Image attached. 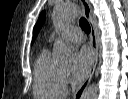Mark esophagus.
Returning <instances> with one entry per match:
<instances>
[{
    "mask_svg": "<svg viewBox=\"0 0 128 99\" xmlns=\"http://www.w3.org/2000/svg\"><path fill=\"white\" fill-rule=\"evenodd\" d=\"M81 5H82V11L84 17L87 19L91 26V33H90V43L93 51V59L91 63V69L89 72L88 77L86 80L83 82V84L77 89V91L73 95V99H82L83 95L88 87V85L91 82V79L93 77L95 67L98 61V43H97V34L94 26V22L92 19V8L88 0H80Z\"/></svg>",
    "mask_w": 128,
    "mask_h": 99,
    "instance_id": "esophagus-1",
    "label": "esophagus"
}]
</instances>
